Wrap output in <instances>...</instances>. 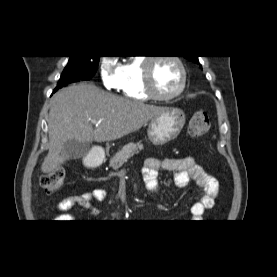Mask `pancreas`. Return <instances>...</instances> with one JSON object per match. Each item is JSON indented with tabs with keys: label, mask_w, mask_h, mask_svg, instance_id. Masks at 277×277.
<instances>
[{
	"label": "pancreas",
	"mask_w": 277,
	"mask_h": 277,
	"mask_svg": "<svg viewBox=\"0 0 277 277\" xmlns=\"http://www.w3.org/2000/svg\"><path fill=\"white\" fill-rule=\"evenodd\" d=\"M143 149L140 143H129L125 145L119 152H117L111 159L109 166L114 170L120 168L130 157L137 154L139 150Z\"/></svg>",
	"instance_id": "obj_1"
}]
</instances>
